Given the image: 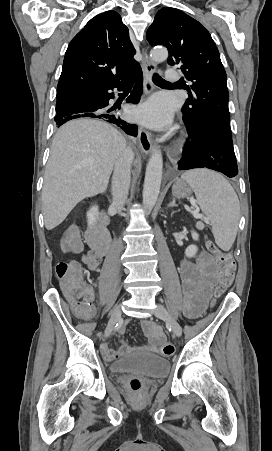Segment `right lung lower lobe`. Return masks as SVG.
I'll return each instance as SVG.
<instances>
[{
    "label": "right lung lower lobe",
    "instance_id": "98d812e1",
    "mask_svg": "<svg viewBox=\"0 0 272 451\" xmlns=\"http://www.w3.org/2000/svg\"><path fill=\"white\" fill-rule=\"evenodd\" d=\"M130 81H136V84L126 102L138 103L142 92V71L140 65L112 86L84 89L57 98L56 124L59 127L67 121L76 118H97L113 123L126 134L136 137L138 134L136 125L127 123L116 114L109 113L113 109L107 111L104 109L108 106L109 99L114 98V93H111L110 90L116 87L119 90H123Z\"/></svg>",
    "mask_w": 272,
    "mask_h": 451
}]
</instances>
